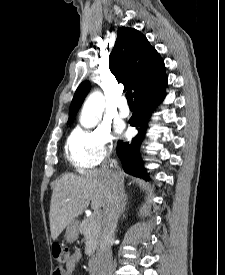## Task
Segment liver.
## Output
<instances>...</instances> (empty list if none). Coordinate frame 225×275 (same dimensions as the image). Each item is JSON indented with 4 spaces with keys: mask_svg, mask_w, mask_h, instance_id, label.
Segmentation results:
<instances>
[{
    "mask_svg": "<svg viewBox=\"0 0 225 275\" xmlns=\"http://www.w3.org/2000/svg\"><path fill=\"white\" fill-rule=\"evenodd\" d=\"M109 180V173L104 168L81 175L65 174L55 183L49 214L53 240L87 209L90 201L94 210L105 208Z\"/></svg>",
    "mask_w": 225,
    "mask_h": 275,
    "instance_id": "liver-1",
    "label": "liver"
}]
</instances>
